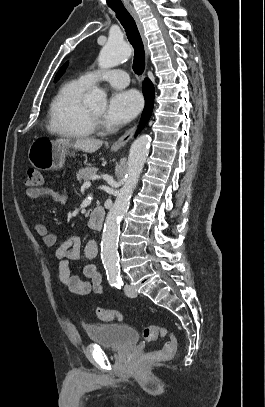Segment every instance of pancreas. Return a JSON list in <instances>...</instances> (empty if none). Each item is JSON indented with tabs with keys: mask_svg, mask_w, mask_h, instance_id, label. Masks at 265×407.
Instances as JSON below:
<instances>
[{
	"mask_svg": "<svg viewBox=\"0 0 265 407\" xmlns=\"http://www.w3.org/2000/svg\"><path fill=\"white\" fill-rule=\"evenodd\" d=\"M97 169L95 167H86V168H82L80 169L77 174V180L81 181H89L92 179V177L96 174Z\"/></svg>",
	"mask_w": 265,
	"mask_h": 407,
	"instance_id": "obj_1",
	"label": "pancreas"
}]
</instances>
